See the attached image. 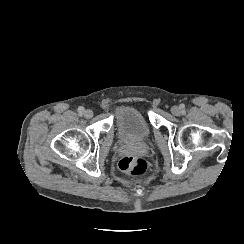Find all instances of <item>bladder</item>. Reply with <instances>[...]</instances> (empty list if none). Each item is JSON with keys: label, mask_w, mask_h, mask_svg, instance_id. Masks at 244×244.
<instances>
[{"label": "bladder", "mask_w": 244, "mask_h": 244, "mask_svg": "<svg viewBox=\"0 0 244 244\" xmlns=\"http://www.w3.org/2000/svg\"><path fill=\"white\" fill-rule=\"evenodd\" d=\"M114 126H117L120 137L125 143L141 142L148 139L151 128L144 115L129 106L115 110Z\"/></svg>", "instance_id": "31cf9c89"}]
</instances>
